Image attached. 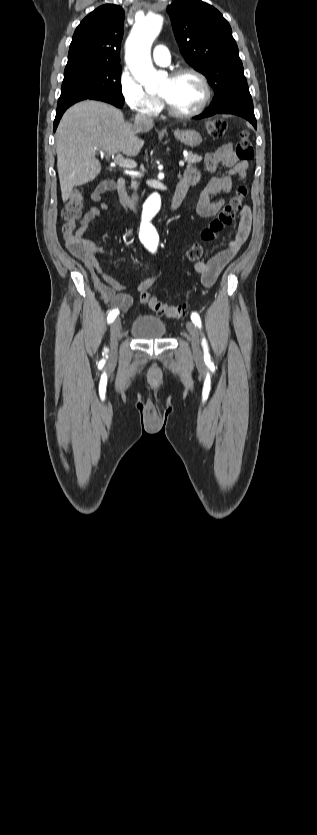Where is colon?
Returning <instances> with one entry per match:
<instances>
[{
	"label": "colon",
	"instance_id": "5ec220e1",
	"mask_svg": "<svg viewBox=\"0 0 317 835\" xmlns=\"http://www.w3.org/2000/svg\"><path fill=\"white\" fill-rule=\"evenodd\" d=\"M206 132L213 138H223L227 132V125L222 120H212L206 124ZM236 155L244 161H249L254 157L253 145L245 132L239 135V141L236 145ZM246 196L247 188L245 185L240 184L236 189L235 195L202 231L201 237L203 241L210 242L215 240L225 228L232 224L236 214L242 208ZM83 202V192L76 188L70 193L61 212L62 219L64 220L63 231L66 235L68 245L76 254L81 256L88 255L95 250V246L90 240L76 235L78 231L76 230V223L81 217ZM203 253V246L197 243L188 249L187 257L189 260L195 261L200 259ZM139 301L141 304L147 305L158 316L173 319H180L185 316V308L182 305L165 303L153 297L147 291L140 293Z\"/></svg>",
	"mask_w": 317,
	"mask_h": 835
}]
</instances>
